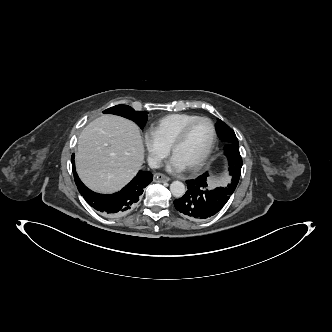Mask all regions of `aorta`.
<instances>
[{"label":"aorta","instance_id":"aorta-1","mask_svg":"<svg viewBox=\"0 0 332 332\" xmlns=\"http://www.w3.org/2000/svg\"><path fill=\"white\" fill-rule=\"evenodd\" d=\"M170 192L174 197L181 198L185 192V185L180 181H173L170 184Z\"/></svg>","mask_w":332,"mask_h":332}]
</instances>
